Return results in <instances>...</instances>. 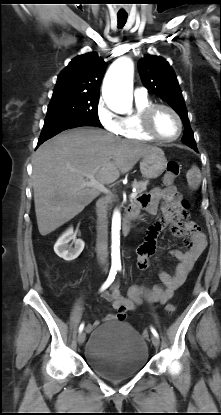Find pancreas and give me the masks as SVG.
Here are the masks:
<instances>
[{"label":"pancreas","instance_id":"pancreas-1","mask_svg":"<svg viewBox=\"0 0 221 415\" xmlns=\"http://www.w3.org/2000/svg\"><path fill=\"white\" fill-rule=\"evenodd\" d=\"M149 181H134L132 183V187L136 189V194H140L142 192H144L147 189V185H148ZM112 201V197L110 195L106 196L104 198V203H110Z\"/></svg>","mask_w":221,"mask_h":415}]
</instances>
